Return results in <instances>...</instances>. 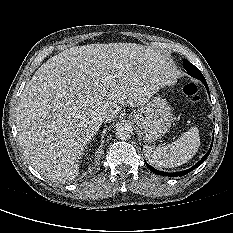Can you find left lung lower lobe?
<instances>
[{
  "mask_svg": "<svg viewBox=\"0 0 233 233\" xmlns=\"http://www.w3.org/2000/svg\"><path fill=\"white\" fill-rule=\"evenodd\" d=\"M202 83L205 85L208 93H209V88H208V85H207V82L205 79H202L201 80ZM212 145H213V142L210 146V149L209 151L206 153L205 156H203V158L198 162L196 163L193 167L187 169V170H184V171H180V172H175V173H167V172H163V171H159V170H156L154 169L152 166H150L149 164H147L146 162V165L147 167L152 171L154 172L155 174H158V175H162V176H170V177H177V176H183V175H186L187 173H189L190 171H192L193 169L197 168L200 164H202L206 159L207 157L209 156L210 152H211V149H212Z\"/></svg>",
  "mask_w": 233,
  "mask_h": 233,
  "instance_id": "obj_1",
  "label": "left lung lower lobe"
}]
</instances>
